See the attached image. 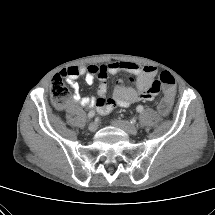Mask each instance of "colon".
Returning a JSON list of instances; mask_svg holds the SVG:
<instances>
[{"label": "colon", "instance_id": "colon-1", "mask_svg": "<svg viewBox=\"0 0 215 215\" xmlns=\"http://www.w3.org/2000/svg\"><path fill=\"white\" fill-rule=\"evenodd\" d=\"M174 77L169 72H162L159 80L154 81L150 91L159 92L161 87L164 88L165 95L158 104V110L161 114L166 115L170 112L174 101ZM69 90L63 82L61 75H56L51 82V100L53 105L61 109L67 103Z\"/></svg>", "mask_w": 215, "mask_h": 215}]
</instances>
